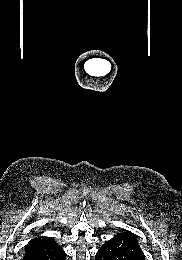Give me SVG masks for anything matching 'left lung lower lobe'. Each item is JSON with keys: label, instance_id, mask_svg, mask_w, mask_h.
<instances>
[{"label": "left lung lower lobe", "instance_id": "1", "mask_svg": "<svg viewBox=\"0 0 182 260\" xmlns=\"http://www.w3.org/2000/svg\"><path fill=\"white\" fill-rule=\"evenodd\" d=\"M95 260H145L144 253L131 232L117 234L98 250Z\"/></svg>", "mask_w": 182, "mask_h": 260}]
</instances>
